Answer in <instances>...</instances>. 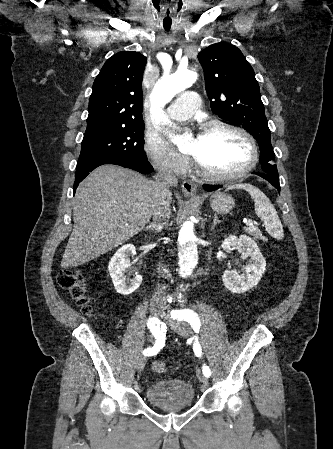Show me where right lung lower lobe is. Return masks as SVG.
I'll list each match as a JSON object with an SVG mask.
<instances>
[{
	"label": "right lung lower lobe",
	"mask_w": 333,
	"mask_h": 449,
	"mask_svg": "<svg viewBox=\"0 0 333 449\" xmlns=\"http://www.w3.org/2000/svg\"><path fill=\"white\" fill-rule=\"evenodd\" d=\"M104 164H115L120 165L125 168H130L136 170L143 174H148L153 172V167L148 161H126L121 158L113 157H97V158H86L79 159L75 174V183L73 191L75 193L78 184L96 167Z\"/></svg>",
	"instance_id": "right-lung-lower-lobe-1"
}]
</instances>
